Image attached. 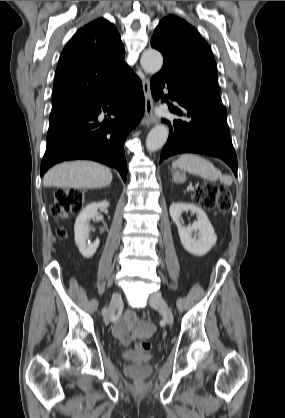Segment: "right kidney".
Segmentation results:
<instances>
[{
	"label": "right kidney",
	"instance_id": "obj_1",
	"mask_svg": "<svg viewBox=\"0 0 285 418\" xmlns=\"http://www.w3.org/2000/svg\"><path fill=\"white\" fill-rule=\"evenodd\" d=\"M109 202L102 201L98 203H91L87 205L78 215L74 225L75 243L80 253L85 258H91L100 244V240L96 239L93 243H87L89 238V221L94 218L98 209H106Z\"/></svg>",
	"mask_w": 285,
	"mask_h": 418
}]
</instances>
